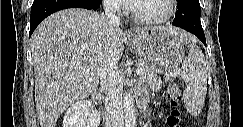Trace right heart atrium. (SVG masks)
I'll return each mask as SVG.
<instances>
[{
    "label": "right heart atrium",
    "instance_id": "right-heart-atrium-1",
    "mask_svg": "<svg viewBox=\"0 0 243 127\" xmlns=\"http://www.w3.org/2000/svg\"><path fill=\"white\" fill-rule=\"evenodd\" d=\"M104 5L111 12H120L123 8V1L122 0H105Z\"/></svg>",
    "mask_w": 243,
    "mask_h": 127
}]
</instances>
